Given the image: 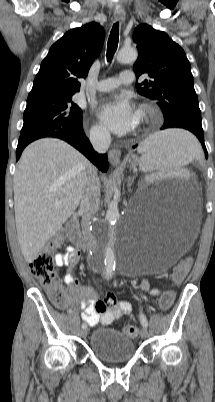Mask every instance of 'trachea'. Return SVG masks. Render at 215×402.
I'll use <instances>...</instances> for the list:
<instances>
[{
	"mask_svg": "<svg viewBox=\"0 0 215 402\" xmlns=\"http://www.w3.org/2000/svg\"><path fill=\"white\" fill-rule=\"evenodd\" d=\"M119 40V23L116 22L110 32L107 46V61L109 62L114 56Z\"/></svg>",
	"mask_w": 215,
	"mask_h": 402,
	"instance_id": "3493384b",
	"label": "trachea"
}]
</instances>
